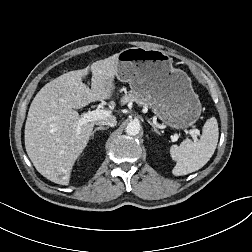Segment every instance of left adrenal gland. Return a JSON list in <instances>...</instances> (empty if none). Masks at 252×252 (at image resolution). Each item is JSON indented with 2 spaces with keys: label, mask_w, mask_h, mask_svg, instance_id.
<instances>
[{
  "label": "left adrenal gland",
  "mask_w": 252,
  "mask_h": 252,
  "mask_svg": "<svg viewBox=\"0 0 252 252\" xmlns=\"http://www.w3.org/2000/svg\"><path fill=\"white\" fill-rule=\"evenodd\" d=\"M148 123L152 126L154 132H156L157 134H160V132L157 130L155 125L150 120H148Z\"/></svg>",
  "instance_id": "left-adrenal-gland-1"
}]
</instances>
